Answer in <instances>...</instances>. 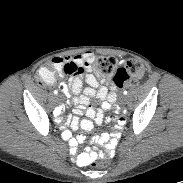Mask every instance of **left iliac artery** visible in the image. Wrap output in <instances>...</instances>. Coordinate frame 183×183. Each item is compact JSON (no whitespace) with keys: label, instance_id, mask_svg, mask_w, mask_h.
<instances>
[{"label":"left iliac artery","instance_id":"44dca946","mask_svg":"<svg viewBox=\"0 0 183 183\" xmlns=\"http://www.w3.org/2000/svg\"><path fill=\"white\" fill-rule=\"evenodd\" d=\"M127 93H128V91L125 90V91H124V95H127Z\"/></svg>","mask_w":183,"mask_h":183}]
</instances>
